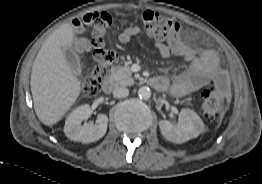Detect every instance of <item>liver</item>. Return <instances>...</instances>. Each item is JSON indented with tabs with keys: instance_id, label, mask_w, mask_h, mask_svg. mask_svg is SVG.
I'll return each mask as SVG.
<instances>
[{
	"instance_id": "1",
	"label": "liver",
	"mask_w": 262,
	"mask_h": 184,
	"mask_svg": "<svg viewBox=\"0 0 262 184\" xmlns=\"http://www.w3.org/2000/svg\"><path fill=\"white\" fill-rule=\"evenodd\" d=\"M74 40L71 24L57 28L40 48L31 72V92L38 119L47 126L56 124L75 103L81 82L73 74L64 48Z\"/></svg>"
}]
</instances>
